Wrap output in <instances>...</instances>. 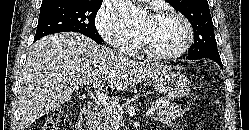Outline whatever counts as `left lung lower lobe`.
I'll use <instances>...</instances> for the list:
<instances>
[{
    "mask_svg": "<svg viewBox=\"0 0 249 130\" xmlns=\"http://www.w3.org/2000/svg\"><path fill=\"white\" fill-rule=\"evenodd\" d=\"M186 58L192 59V60L208 58V59H211V60L215 61L216 63H218L220 65V67L223 66L220 57L187 56ZM222 69H223V67H222Z\"/></svg>",
    "mask_w": 249,
    "mask_h": 130,
    "instance_id": "0a47b994",
    "label": "left lung lower lobe"
}]
</instances>
